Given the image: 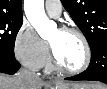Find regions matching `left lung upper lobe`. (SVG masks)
<instances>
[{
	"mask_svg": "<svg viewBox=\"0 0 107 89\" xmlns=\"http://www.w3.org/2000/svg\"><path fill=\"white\" fill-rule=\"evenodd\" d=\"M90 48L107 41V0H61Z\"/></svg>",
	"mask_w": 107,
	"mask_h": 89,
	"instance_id": "5c2ea615",
	"label": "left lung upper lobe"
}]
</instances>
